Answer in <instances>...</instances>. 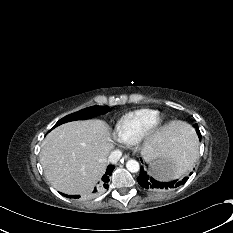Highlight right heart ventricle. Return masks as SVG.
<instances>
[{
    "instance_id": "e07e8e85",
    "label": "right heart ventricle",
    "mask_w": 233,
    "mask_h": 233,
    "mask_svg": "<svg viewBox=\"0 0 233 233\" xmlns=\"http://www.w3.org/2000/svg\"><path fill=\"white\" fill-rule=\"evenodd\" d=\"M156 114L157 111L149 108L137 109L125 114L115 125L114 138L124 144L135 143L144 135L150 120Z\"/></svg>"
}]
</instances>
